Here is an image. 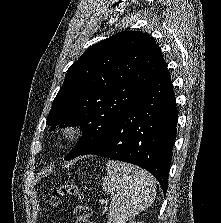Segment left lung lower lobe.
I'll return each mask as SVG.
<instances>
[{
  "label": "left lung lower lobe",
  "instance_id": "1",
  "mask_svg": "<svg viewBox=\"0 0 221 223\" xmlns=\"http://www.w3.org/2000/svg\"><path fill=\"white\" fill-rule=\"evenodd\" d=\"M177 119L175 94L165 63L148 89L80 155L94 154L140 166L156 177L165 194Z\"/></svg>",
  "mask_w": 221,
  "mask_h": 223
}]
</instances>
